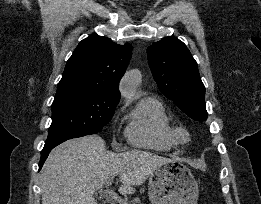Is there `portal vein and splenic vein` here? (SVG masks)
<instances>
[{
  "label": "portal vein and splenic vein",
  "instance_id": "portal-vein-and-splenic-vein-1",
  "mask_svg": "<svg viewBox=\"0 0 261 204\" xmlns=\"http://www.w3.org/2000/svg\"><path fill=\"white\" fill-rule=\"evenodd\" d=\"M114 177L109 178L106 181V187L109 188L112 185ZM107 193L110 195V197H112V199H114L117 203L119 204H128L127 201H124L123 199H121V197L118 196V194H116L112 189H108Z\"/></svg>",
  "mask_w": 261,
  "mask_h": 204
}]
</instances>
